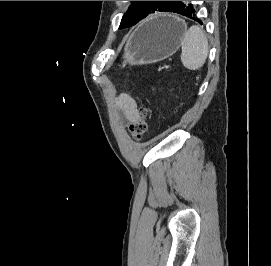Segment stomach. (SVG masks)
Listing matches in <instances>:
<instances>
[{"label": "stomach", "instance_id": "1", "mask_svg": "<svg viewBox=\"0 0 271 266\" xmlns=\"http://www.w3.org/2000/svg\"><path fill=\"white\" fill-rule=\"evenodd\" d=\"M185 31L186 24L176 16L161 14L149 19L130 35L123 64L142 65L168 58L180 47Z\"/></svg>", "mask_w": 271, "mask_h": 266}]
</instances>
